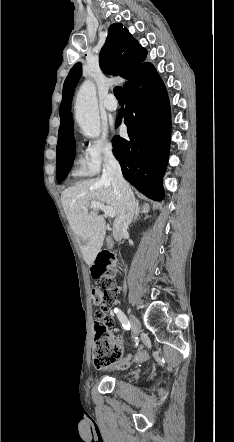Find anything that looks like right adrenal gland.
Wrapping results in <instances>:
<instances>
[{
    "label": "right adrenal gland",
    "instance_id": "obj_1",
    "mask_svg": "<svg viewBox=\"0 0 234 442\" xmlns=\"http://www.w3.org/2000/svg\"><path fill=\"white\" fill-rule=\"evenodd\" d=\"M148 210H149V206L147 204H144L142 206V210L140 211L139 201L136 200L135 215H134V218H133V222H136V220H137V218L139 216V213H147Z\"/></svg>",
    "mask_w": 234,
    "mask_h": 442
}]
</instances>
